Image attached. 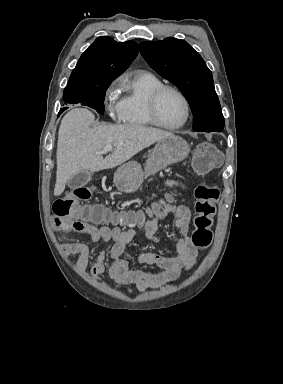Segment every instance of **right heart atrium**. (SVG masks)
Wrapping results in <instances>:
<instances>
[{"mask_svg": "<svg viewBox=\"0 0 283 384\" xmlns=\"http://www.w3.org/2000/svg\"><path fill=\"white\" fill-rule=\"evenodd\" d=\"M121 89L122 80L120 77H117L106 85L103 92L104 108L109 117L114 121L121 119Z\"/></svg>", "mask_w": 283, "mask_h": 384, "instance_id": "1", "label": "right heart atrium"}]
</instances>
